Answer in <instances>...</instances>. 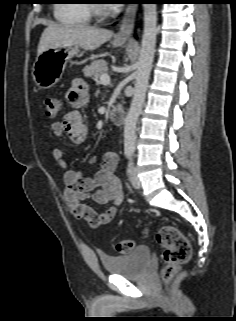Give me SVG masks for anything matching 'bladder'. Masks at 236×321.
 Segmentation results:
<instances>
[{
    "mask_svg": "<svg viewBox=\"0 0 236 321\" xmlns=\"http://www.w3.org/2000/svg\"><path fill=\"white\" fill-rule=\"evenodd\" d=\"M151 258L149 246L141 244L124 255L101 256L106 272L123 277H139L143 274Z\"/></svg>",
    "mask_w": 236,
    "mask_h": 321,
    "instance_id": "obj_1",
    "label": "bladder"
}]
</instances>
